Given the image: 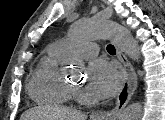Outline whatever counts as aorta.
I'll list each match as a JSON object with an SVG mask.
<instances>
[{
	"instance_id": "762f6f07",
	"label": "aorta",
	"mask_w": 165,
	"mask_h": 120,
	"mask_svg": "<svg viewBox=\"0 0 165 120\" xmlns=\"http://www.w3.org/2000/svg\"><path fill=\"white\" fill-rule=\"evenodd\" d=\"M75 36L107 39L113 38L120 49L131 59L138 61L140 49L130 31L121 24L99 18L89 20H79L73 24ZM143 114L140 103H132L124 109L119 120H140Z\"/></svg>"
}]
</instances>
